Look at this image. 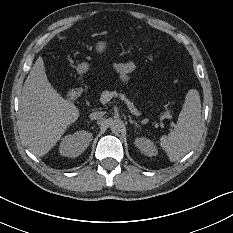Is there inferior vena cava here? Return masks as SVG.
Segmentation results:
<instances>
[{"label": "inferior vena cava", "mask_w": 233, "mask_h": 233, "mask_svg": "<svg viewBox=\"0 0 233 233\" xmlns=\"http://www.w3.org/2000/svg\"><path fill=\"white\" fill-rule=\"evenodd\" d=\"M104 115V112L102 111H96L90 114V119L91 120H97L100 119Z\"/></svg>", "instance_id": "obj_1"}]
</instances>
